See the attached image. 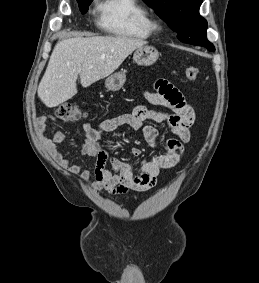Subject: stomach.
Here are the masks:
<instances>
[{"label": "stomach", "instance_id": "1", "mask_svg": "<svg viewBox=\"0 0 259 283\" xmlns=\"http://www.w3.org/2000/svg\"><path fill=\"white\" fill-rule=\"evenodd\" d=\"M159 57L158 50L153 46L144 45L135 50L133 60L141 66H149L156 62ZM126 81V74L123 71L116 72L110 75L105 86L109 91H118Z\"/></svg>", "mask_w": 259, "mask_h": 283}]
</instances>
